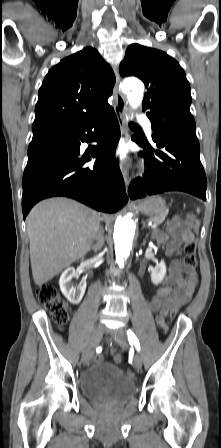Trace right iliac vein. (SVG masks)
I'll use <instances>...</instances> for the list:
<instances>
[{"mask_svg": "<svg viewBox=\"0 0 221 448\" xmlns=\"http://www.w3.org/2000/svg\"><path fill=\"white\" fill-rule=\"evenodd\" d=\"M104 330L105 329L102 325H98L95 328V330H94V332H93V334H92V336L82 354V362L84 365H87L90 362V360L92 359L94 350L98 346V344L103 336Z\"/></svg>", "mask_w": 221, "mask_h": 448, "instance_id": "1", "label": "right iliac vein"}]
</instances>
